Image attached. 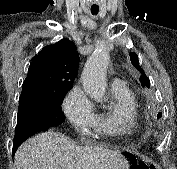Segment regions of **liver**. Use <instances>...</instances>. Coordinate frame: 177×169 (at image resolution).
Listing matches in <instances>:
<instances>
[{"mask_svg": "<svg viewBox=\"0 0 177 169\" xmlns=\"http://www.w3.org/2000/svg\"><path fill=\"white\" fill-rule=\"evenodd\" d=\"M15 169H127L118 152L99 146H77L63 134L47 132L24 142L14 155Z\"/></svg>", "mask_w": 177, "mask_h": 169, "instance_id": "liver-1", "label": "liver"}]
</instances>
